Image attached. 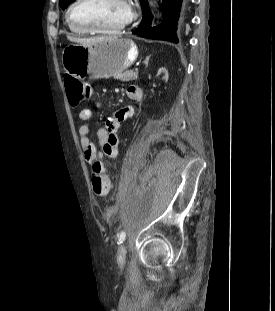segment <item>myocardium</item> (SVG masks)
Masks as SVG:
<instances>
[{
	"mask_svg": "<svg viewBox=\"0 0 275 311\" xmlns=\"http://www.w3.org/2000/svg\"><path fill=\"white\" fill-rule=\"evenodd\" d=\"M88 1L89 0H76L68 8L67 13H66V20H67V23L71 27L80 29L86 33H91V34L114 35V34H118V33L122 32L123 30H125L127 28V26L130 24V18L129 17L124 24H122L121 26L114 28V29H99V28H94V27H91L88 25L79 24V23L75 22L73 19V16H72L74 9L77 6H79L80 4L88 2ZM123 2H125L128 5L126 0H123Z\"/></svg>",
	"mask_w": 275,
	"mask_h": 311,
	"instance_id": "f54148a6",
	"label": "myocardium"
}]
</instances>
